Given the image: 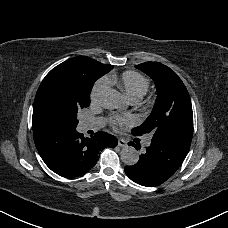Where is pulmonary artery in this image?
I'll return each mask as SVG.
<instances>
[{
    "mask_svg": "<svg viewBox=\"0 0 228 228\" xmlns=\"http://www.w3.org/2000/svg\"><path fill=\"white\" fill-rule=\"evenodd\" d=\"M86 126H87V127H88V126H91V123H90V122H87V123H86ZM145 144L148 145V144H149V140H147V141L145 142Z\"/></svg>",
    "mask_w": 228,
    "mask_h": 228,
    "instance_id": "1",
    "label": "pulmonary artery"
}]
</instances>
